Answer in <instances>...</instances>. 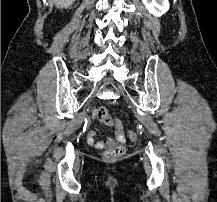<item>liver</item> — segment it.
I'll return each mask as SVG.
<instances>
[{
	"label": "liver",
	"mask_w": 217,
	"mask_h": 202,
	"mask_svg": "<svg viewBox=\"0 0 217 202\" xmlns=\"http://www.w3.org/2000/svg\"><path fill=\"white\" fill-rule=\"evenodd\" d=\"M57 8H70L75 0H49Z\"/></svg>",
	"instance_id": "1"
}]
</instances>
